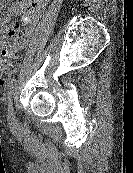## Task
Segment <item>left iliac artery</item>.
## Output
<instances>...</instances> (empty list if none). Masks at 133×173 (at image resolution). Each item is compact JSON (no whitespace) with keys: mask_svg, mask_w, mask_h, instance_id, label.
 Returning a JSON list of instances; mask_svg holds the SVG:
<instances>
[{"mask_svg":"<svg viewBox=\"0 0 133 173\" xmlns=\"http://www.w3.org/2000/svg\"><path fill=\"white\" fill-rule=\"evenodd\" d=\"M15 85H16V79L13 78V79H11V81H10V83L8 85V93H7V95H8V99L9 100L11 99V97H12V95L14 93Z\"/></svg>","mask_w":133,"mask_h":173,"instance_id":"left-iliac-artery-1","label":"left iliac artery"}]
</instances>
